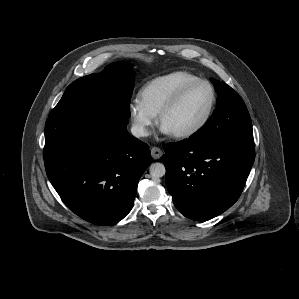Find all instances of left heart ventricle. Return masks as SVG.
I'll return each mask as SVG.
<instances>
[{
  "instance_id": "obj_1",
  "label": "left heart ventricle",
  "mask_w": 299,
  "mask_h": 299,
  "mask_svg": "<svg viewBox=\"0 0 299 299\" xmlns=\"http://www.w3.org/2000/svg\"><path fill=\"white\" fill-rule=\"evenodd\" d=\"M211 99L206 85L191 88L163 119L161 126L171 134L186 131L197 125L204 117Z\"/></svg>"
}]
</instances>
